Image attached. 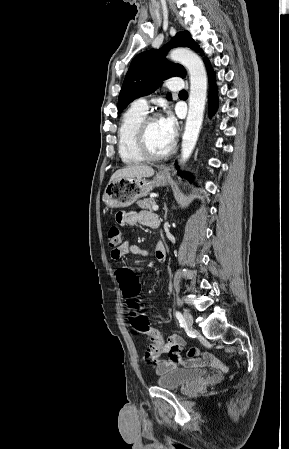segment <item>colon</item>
Here are the masks:
<instances>
[{
  "instance_id": "obj_1",
  "label": "colon",
  "mask_w": 289,
  "mask_h": 449,
  "mask_svg": "<svg viewBox=\"0 0 289 449\" xmlns=\"http://www.w3.org/2000/svg\"><path fill=\"white\" fill-rule=\"evenodd\" d=\"M107 240L112 249H117L122 245L123 233L118 227L112 226L107 232ZM116 279L119 280L120 284L122 304L127 305L129 309V325L136 333L149 336L151 344L145 355L148 361L155 363L158 355L165 353L163 347L165 342L159 330L150 326L142 311L139 297L140 284L137 275L132 268H118Z\"/></svg>"
}]
</instances>
